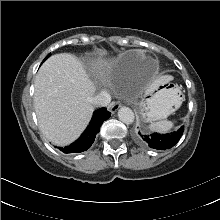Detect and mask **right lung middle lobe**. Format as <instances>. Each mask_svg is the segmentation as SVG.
I'll return each instance as SVG.
<instances>
[{
    "label": "right lung middle lobe",
    "instance_id": "dd1d6c3e",
    "mask_svg": "<svg viewBox=\"0 0 220 220\" xmlns=\"http://www.w3.org/2000/svg\"><path fill=\"white\" fill-rule=\"evenodd\" d=\"M51 54H49L45 59H44V61L50 56Z\"/></svg>",
    "mask_w": 220,
    "mask_h": 220
}]
</instances>
